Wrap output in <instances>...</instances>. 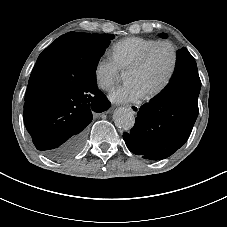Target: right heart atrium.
Here are the masks:
<instances>
[{
  "label": "right heart atrium",
  "instance_id": "obj_1",
  "mask_svg": "<svg viewBox=\"0 0 227 227\" xmlns=\"http://www.w3.org/2000/svg\"><path fill=\"white\" fill-rule=\"evenodd\" d=\"M119 78V68L113 58L102 56L94 68V80L101 91L112 90Z\"/></svg>",
  "mask_w": 227,
  "mask_h": 227
}]
</instances>
